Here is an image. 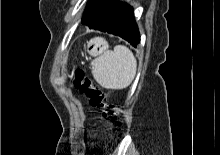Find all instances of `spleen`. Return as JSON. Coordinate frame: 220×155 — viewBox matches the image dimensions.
I'll list each match as a JSON object with an SVG mask.
<instances>
[{"label": "spleen", "mask_w": 220, "mask_h": 155, "mask_svg": "<svg viewBox=\"0 0 220 155\" xmlns=\"http://www.w3.org/2000/svg\"><path fill=\"white\" fill-rule=\"evenodd\" d=\"M92 75L103 88L122 90L136 75L137 61L129 48L116 45L113 51H105L91 62Z\"/></svg>", "instance_id": "obj_1"}]
</instances>
